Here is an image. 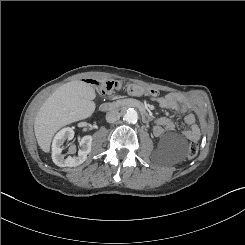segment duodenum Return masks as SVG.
<instances>
[{
  "label": "duodenum",
  "mask_w": 245,
  "mask_h": 245,
  "mask_svg": "<svg viewBox=\"0 0 245 245\" xmlns=\"http://www.w3.org/2000/svg\"><path fill=\"white\" fill-rule=\"evenodd\" d=\"M120 106H130V107H135L137 109H139V111L141 112L142 118L144 121L148 122L150 120V116L147 112V109L142 106L141 104L137 103V102H123V103H117V102H113V103H105L102 106V109L106 112L108 111H113L115 109H117Z\"/></svg>",
  "instance_id": "obj_1"
}]
</instances>
